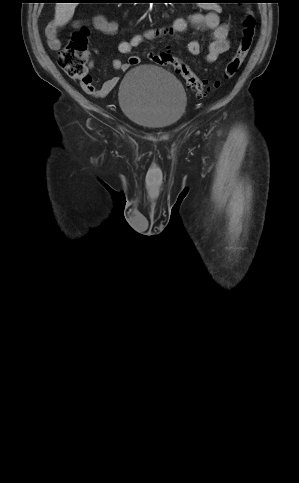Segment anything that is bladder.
Returning a JSON list of instances; mask_svg holds the SVG:
<instances>
[{
    "label": "bladder",
    "instance_id": "31cf9c89",
    "mask_svg": "<svg viewBox=\"0 0 299 483\" xmlns=\"http://www.w3.org/2000/svg\"><path fill=\"white\" fill-rule=\"evenodd\" d=\"M123 114L150 129H166L178 123L188 101L182 83L155 65H136L122 78L118 92Z\"/></svg>",
    "mask_w": 299,
    "mask_h": 483
}]
</instances>
